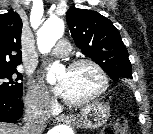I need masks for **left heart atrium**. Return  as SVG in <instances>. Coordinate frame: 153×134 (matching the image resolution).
Instances as JSON below:
<instances>
[{"label":"left heart atrium","mask_w":153,"mask_h":134,"mask_svg":"<svg viewBox=\"0 0 153 134\" xmlns=\"http://www.w3.org/2000/svg\"><path fill=\"white\" fill-rule=\"evenodd\" d=\"M56 94L62 95L64 94V85L62 82H58L57 85L54 88Z\"/></svg>","instance_id":"39dd6f15"}]
</instances>
